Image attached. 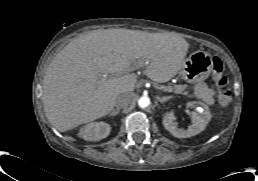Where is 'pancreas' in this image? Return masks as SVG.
<instances>
[{"label":"pancreas","mask_w":258,"mask_h":181,"mask_svg":"<svg viewBox=\"0 0 258 181\" xmlns=\"http://www.w3.org/2000/svg\"><path fill=\"white\" fill-rule=\"evenodd\" d=\"M171 87V86H170ZM172 88V92L176 94L188 95L189 91L187 90V85H174Z\"/></svg>","instance_id":"cf45deb5"}]
</instances>
